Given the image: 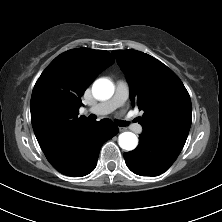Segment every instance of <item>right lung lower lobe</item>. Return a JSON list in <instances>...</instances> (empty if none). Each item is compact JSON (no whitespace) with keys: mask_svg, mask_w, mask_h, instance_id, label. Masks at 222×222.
I'll return each instance as SVG.
<instances>
[{"mask_svg":"<svg viewBox=\"0 0 222 222\" xmlns=\"http://www.w3.org/2000/svg\"><path fill=\"white\" fill-rule=\"evenodd\" d=\"M117 132L118 127L111 120L90 121L59 161H48L64 175L85 176L94 170L103 143Z\"/></svg>","mask_w":222,"mask_h":222,"instance_id":"obj_1","label":"right lung lower lobe"}]
</instances>
